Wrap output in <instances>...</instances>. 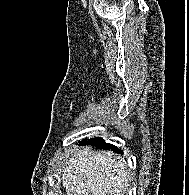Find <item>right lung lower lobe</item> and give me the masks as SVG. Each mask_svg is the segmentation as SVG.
I'll return each mask as SVG.
<instances>
[{
	"mask_svg": "<svg viewBox=\"0 0 189 195\" xmlns=\"http://www.w3.org/2000/svg\"><path fill=\"white\" fill-rule=\"evenodd\" d=\"M79 145H93V146L100 148V149L112 150V151H115V152L121 153V154L123 153L117 147L103 142V140L101 138H91L89 140L84 139L83 141L79 142Z\"/></svg>",
	"mask_w": 189,
	"mask_h": 195,
	"instance_id": "98d812e1",
	"label": "right lung lower lobe"
}]
</instances>
